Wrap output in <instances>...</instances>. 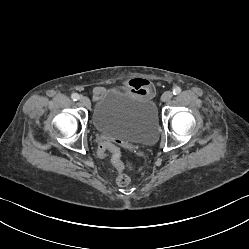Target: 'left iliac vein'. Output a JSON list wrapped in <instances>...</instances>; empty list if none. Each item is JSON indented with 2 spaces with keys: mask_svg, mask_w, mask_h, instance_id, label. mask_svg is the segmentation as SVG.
Listing matches in <instances>:
<instances>
[{
  "mask_svg": "<svg viewBox=\"0 0 249 249\" xmlns=\"http://www.w3.org/2000/svg\"><path fill=\"white\" fill-rule=\"evenodd\" d=\"M172 96H173V93L171 91H166L162 95L161 99H162V101L167 102L172 98Z\"/></svg>",
  "mask_w": 249,
  "mask_h": 249,
  "instance_id": "4c4485c4",
  "label": "left iliac vein"
}]
</instances>
